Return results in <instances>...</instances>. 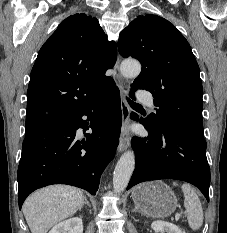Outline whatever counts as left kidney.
Listing matches in <instances>:
<instances>
[{
	"label": "left kidney",
	"instance_id": "obj_1",
	"mask_svg": "<svg viewBox=\"0 0 227 233\" xmlns=\"http://www.w3.org/2000/svg\"><path fill=\"white\" fill-rule=\"evenodd\" d=\"M151 228L158 233H183L178 226L164 221L153 222Z\"/></svg>",
	"mask_w": 227,
	"mask_h": 233
}]
</instances>
